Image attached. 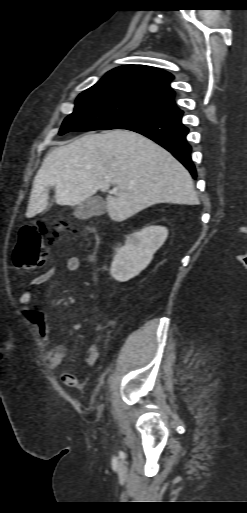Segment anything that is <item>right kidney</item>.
Returning a JSON list of instances; mask_svg holds the SVG:
<instances>
[{"instance_id": "ca27d5eb", "label": "right kidney", "mask_w": 247, "mask_h": 513, "mask_svg": "<svg viewBox=\"0 0 247 513\" xmlns=\"http://www.w3.org/2000/svg\"><path fill=\"white\" fill-rule=\"evenodd\" d=\"M167 236L168 230L163 226H149L129 235L113 258L110 270L112 277L125 282L137 276L149 265Z\"/></svg>"}]
</instances>
